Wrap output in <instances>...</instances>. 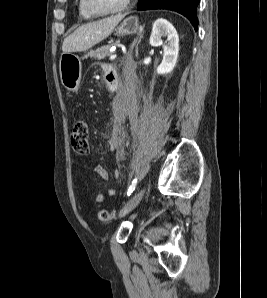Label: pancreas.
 I'll use <instances>...</instances> for the list:
<instances>
[{
    "label": "pancreas",
    "instance_id": "pancreas-1",
    "mask_svg": "<svg viewBox=\"0 0 267 298\" xmlns=\"http://www.w3.org/2000/svg\"><path fill=\"white\" fill-rule=\"evenodd\" d=\"M119 41H116L114 44L104 45L96 50H91L86 56L94 57L97 59H103L106 56H110L112 53L110 52V48L112 46H118Z\"/></svg>",
    "mask_w": 267,
    "mask_h": 298
}]
</instances>
